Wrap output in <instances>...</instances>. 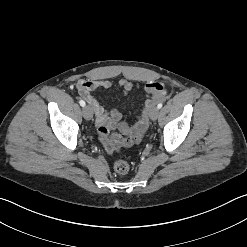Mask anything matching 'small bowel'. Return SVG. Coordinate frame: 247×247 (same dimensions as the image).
I'll list each match as a JSON object with an SVG mask.
<instances>
[{
  "mask_svg": "<svg viewBox=\"0 0 247 247\" xmlns=\"http://www.w3.org/2000/svg\"><path fill=\"white\" fill-rule=\"evenodd\" d=\"M112 86L113 84L109 80L81 79L76 83L79 95L87 101L95 114L100 138L109 152H112L120 144L130 145L141 140L148 126V109L157 99L165 95V89L161 82L147 84L145 87L147 99L144 102L142 111L136 123L129 125L123 121L120 111L116 109L107 110L93 95V92L99 88L108 90ZM116 87L124 94H127L136 89L137 85L126 79H121ZM113 130H117L118 133L109 137V133Z\"/></svg>",
  "mask_w": 247,
  "mask_h": 247,
  "instance_id": "small-bowel-1",
  "label": "small bowel"
}]
</instances>
